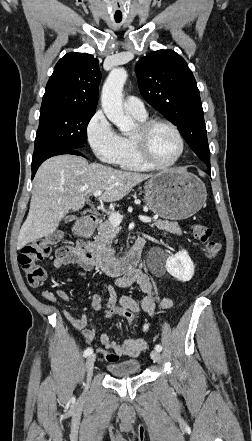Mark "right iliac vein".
Instances as JSON below:
<instances>
[{
	"mask_svg": "<svg viewBox=\"0 0 252 441\" xmlns=\"http://www.w3.org/2000/svg\"><path fill=\"white\" fill-rule=\"evenodd\" d=\"M96 360V356L95 355H90L86 362H85V369H86V374H87V380L89 381L91 379L92 373H93V369H94V363Z\"/></svg>",
	"mask_w": 252,
	"mask_h": 441,
	"instance_id": "63e3f726",
	"label": "right iliac vein"
}]
</instances>
